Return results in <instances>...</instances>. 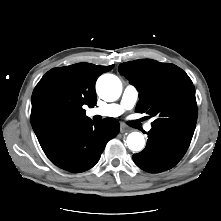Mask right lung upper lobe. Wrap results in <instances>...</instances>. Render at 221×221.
<instances>
[{"label": "right lung upper lobe", "instance_id": "obj_1", "mask_svg": "<svg viewBox=\"0 0 221 221\" xmlns=\"http://www.w3.org/2000/svg\"><path fill=\"white\" fill-rule=\"evenodd\" d=\"M113 67L77 63L42 77L31 98V124L40 144L67 125L89 120L83 106L96 105L95 82Z\"/></svg>", "mask_w": 221, "mask_h": 221}]
</instances>
